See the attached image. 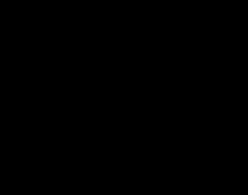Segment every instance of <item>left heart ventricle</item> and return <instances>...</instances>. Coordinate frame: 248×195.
<instances>
[{
	"mask_svg": "<svg viewBox=\"0 0 248 195\" xmlns=\"http://www.w3.org/2000/svg\"><path fill=\"white\" fill-rule=\"evenodd\" d=\"M181 61V50L178 45L171 46L164 54L162 69L148 77L150 90L158 92L165 88L174 78Z\"/></svg>",
	"mask_w": 248,
	"mask_h": 195,
	"instance_id": "1",
	"label": "left heart ventricle"
}]
</instances>
